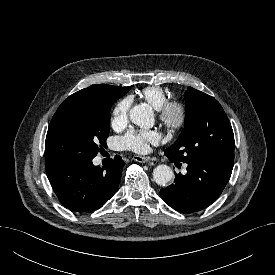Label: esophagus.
I'll use <instances>...</instances> for the list:
<instances>
[{"label":"esophagus","instance_id":"1","mask_svg":"<svg viewBox=\"0 0 275 275\" xmlns=\"http://www.w3.org/2000/svg\"><path fill=\"white\" fill-rule=\"evenodd\" d=\"M135 161L139 162V163H146V162H150V161H155L156 158L154 157H143V156H134L133 158Z\"/></svg>","mask_w":275,"mask_h":275}]
</instances>
